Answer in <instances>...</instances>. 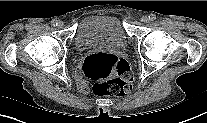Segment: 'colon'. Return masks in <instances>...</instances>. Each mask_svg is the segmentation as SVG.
Returning a JSON list of instances; mask_svg holds the SVG:
<instances>
[{"label":"colon","instance_id":"1","mask_svg":"<svg viewBox=\"0 0 207 123\" xmlns=\"http://www.w3.org/2000/svg\"><path fill=\"white\" fill-rule=\"evenodd\" d=\"M85 76L93 82V92L122 96L132 86L133 74L128 62L110 54L91 55L84 61Z\"/></svg>","mask_w":207,"mask_h":123}]
</instances>
